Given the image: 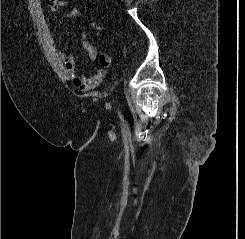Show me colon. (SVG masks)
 Masks as SVG:
<instances>
[{"instance_id": "5ec220e1", "label": "colon", "mask_w": 245, "mask_h": 239, "mask_svg": "<svg viewBox=\"0 0 245 239\" xmlns=\"http://www.w3.org/2000/svg\"><path fill=\"white\" fill-rule=\"evenodd\" d=\"M48 4H52L53 2H55L54 0H46Z\"/></svg>"}]
</instances>
